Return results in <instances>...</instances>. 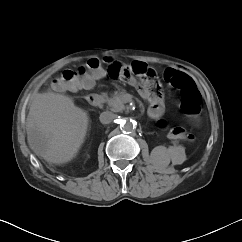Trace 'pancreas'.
I'll return each instance as SVG.
<instances>
[{
	"instance_id": "pancreas-1",
	"label": "pancreas",
	"mask_w": 242,
	"mask_h": 242,
	"mask_svg": "<svg viewBox=\"0 0 242 242\" xmlns=\"http://www.w3.org/2000/svg\"><path fill=\"white\" fill-rule=\"evenodd\" d=\"M125 95V90L120 91L117 95H114L112 97H108L107 94H103L106 102L108 103V106L114 112H121L124 110V104L127 102V100L125 99Z\"/></svg>"
}]
</instances>
